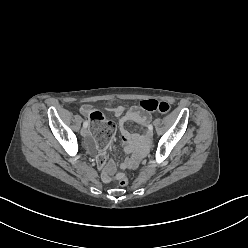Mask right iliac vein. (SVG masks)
<instances>
[{
	"label": "right iliac vein",
	"mask_w": 248,
	"mask_h": 248,
	"mask_svg": "<svg viewBox=\"0 0 248 248\" xmlns=\"http://www.w3.org/2000/svg\"><path fill=\"white\" fill-rule=\"evenodd\" d=\"M88 133H89V131H88V129L87 128H85V127H83L82 129H81V135L82 136H87L88 135Z\"/></svg>",
	"instance_id": "right-iliac-vein-1"
}]
</instances>
